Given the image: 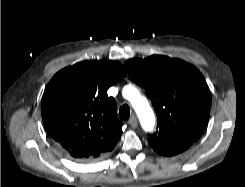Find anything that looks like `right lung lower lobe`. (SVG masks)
Returning <instances> with one entry per match:
<instances>
[{"instance_id": "1", "label": "right lung lower lobe", "mask_w": 245, "mask_h": 187, "mask_svg": "<svg viewBox=\"0 0 245 187\" xmlns=\"http://www.w3.org/2000/svg\"><path fill=\"white\" fill-rule=\"evenodd\" d=\"M62 149V148H61ZM62 151L66 154V152L62 149ZM67 155V154H66ZM69 156V155H67ZM70 157V156H69ZM72 158V157H71ZM74 159V158H73ZM76 161H79V162H88L87 160L85 159H75Z\"/></svg>"}]
</instances>
